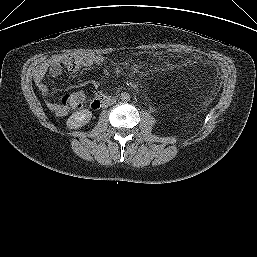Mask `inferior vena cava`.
I'll return each instance as SVG.
<instances>
[{"label": "inferior vena cava", "instance_id": "1", "mask_svg": "<svg viewBox=\"0 0 257 257\" xmlns=\"http://www.w3.org/2000/svg\"><path fill=\"white\" fill-rule=\"evenodd\" d=\"M115 101L114 100H111V102L109 103V105L113 104Z\"/></svg>", "mask_w": 257, "mask_h": 257}]
</instances>
